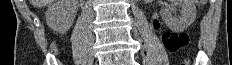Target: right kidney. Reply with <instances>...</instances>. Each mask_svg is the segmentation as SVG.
Segmentation results:
<instances>
[{
  "label": "right kidney",
  "instance_id": "1",
  "mask_svg": "<svg viewBox=\"0 0 232 65\" xmlns=\"http://www.w3.org/2000/svg\"><path fill=\"white\" fill-rule=\"evenodd\" d=\"M78 0H56L46 11L47 25L55 32L64 34L72 26Z\"/></svg>",
  "mask_w": 232,
  "mask_h": 65
}]
</instances>
